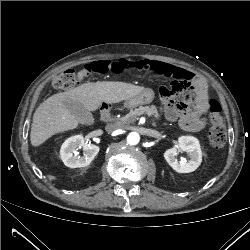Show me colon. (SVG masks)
Instances as JSON below:
<instances>
[{
  "instance_id": "colon-1",
  "label": "colon",
  "mask_w": 250,
  "mask_h": 250,
  "mask_svg": "<svg viewBox=\"0 0 250 250\" xmlns=\"http://www.w3.org/2000/svg\"><path fill=\"white\" fill-rule=\"evenodd\" d=\"M130 69V63L125 60H99L85 65L83 73L90 76H99L105 74H125ZM77 82V74L74 69H66L53 79V86L57 89H70ZM183 81L179 77L174 78L172 93L181 91ZM188 99H195L196 94L191 90H186ZM208 115L210 127L208 138L211 145L215 148H222L227 140V134L220 115V105L217 101L211 100L208 103Z\"/></svg>"
}]
</instances>
